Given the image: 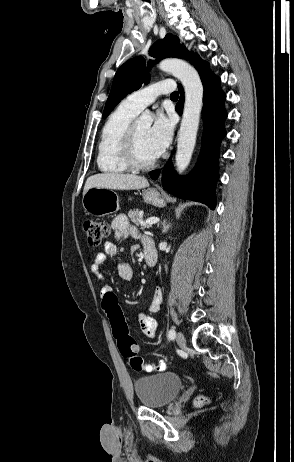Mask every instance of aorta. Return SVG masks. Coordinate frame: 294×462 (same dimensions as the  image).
I'll return each mask as SVG.
<instances>
[{"label": "aorta", "instance_id": "1", "mask_svg": "<svg viewBox=\"0 0 294 462\" xmlns=\"http://www.w3.org/2000/svg\"><path fill=\"white\" fill-rule=\"evenodd\" d=\"M162 71L177 77L185 90V103L177 141L176 168L182 174L188 167L196 143L203 105V85L197 71L179 59H165L159 64ZM141 118L139 123H142Z\"/></svg>", "mask_w": 294, "mask_h": 462}]
</instances>
